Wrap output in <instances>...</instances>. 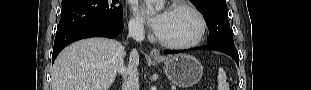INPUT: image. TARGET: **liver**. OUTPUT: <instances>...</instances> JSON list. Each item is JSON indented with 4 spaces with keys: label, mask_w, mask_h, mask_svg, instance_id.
Masks as SVG:
<instances>
[{
    "label": "liver",
    "mask_w": 311,
    "mask_h": 90,
    "mask_svg": "<svg viewBox=\"0 0 311 90\" xmlns=\"http://www.w3.org/2000/svg\"><path fill=\"white\" fill-rule=\"evenodd\" d=\"M124 47L107 38H89L71 44L57 57L52 71V90H109L123 68ZM139 64L137 50L130 60Z\"/></svg>",
    "instance_id": "6515ba94"
}]
</instances>
